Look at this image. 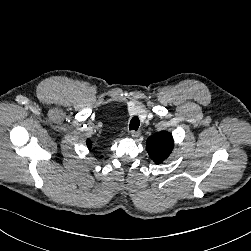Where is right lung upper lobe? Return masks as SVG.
Segmentation results:
<instances>
[{"mask_svg":"<svg viewBox=\"0 0 251 251\" xmlns=\"http://www.w3.org/2000/svg\"><path fill=\"white\" fill-rule=\"evenodd\" d=\"M87 145L90 146V141H87Z\"/></svg>","mask_w":251,"mask_h":251,"instance_id":"1","label":"right lung upper lobe"}]
</instances>
